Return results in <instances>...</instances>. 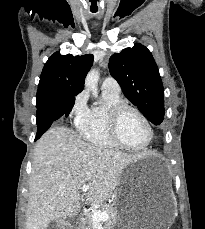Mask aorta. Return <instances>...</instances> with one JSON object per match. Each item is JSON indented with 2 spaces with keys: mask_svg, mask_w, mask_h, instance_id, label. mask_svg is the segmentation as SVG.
<instances>
[{
  "mask_svg": "<svg viewBox=\"0 0 205 229\" xmlns=\"http://www.w3.org/2000/svg\"><path fill=\"white\" fill-rule=\"evenodd\" d=\"M99 76L100 74L97 69H91L85 78V87L91 90L95 97H97V84Z\"/></svg>",
  "mask_w": 205,
  "mask_h": 229,
  "instance_id": "1",
  "label": "aorta"
}]
</instances>
